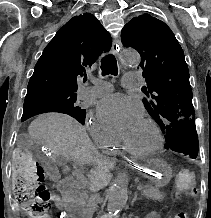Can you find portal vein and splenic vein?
Returning a JSON list of instances; mask_svg holds the SVG:
<instances>
[{
	"label": "portal vein and splenic vein",
	"mask_w": 211,
	"mask_h": 218,
	"mask_svg": "<svg viewBox=\"0 0 211 218\" xmlns=\"http://www.w3.org/2000/svg\"><path fill=\"white\" fill-rule=\"evenodd\" d=\"M135 189H137V191H142V187L141 186H135Z\"/></svg>",
	"instance_id": "18ae733b"
}]
</instances>
